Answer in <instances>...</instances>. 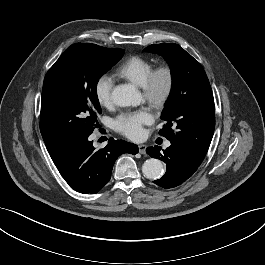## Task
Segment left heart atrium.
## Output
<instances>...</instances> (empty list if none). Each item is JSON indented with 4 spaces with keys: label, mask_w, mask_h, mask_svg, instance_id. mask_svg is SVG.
Returning a JSON list of instances; mask_svg holds the SVG:
<instances>
[{
    "label": "left heart atrium",
    "mask_w": 265,
    "mask_h": 265,
    "mask_svg": "<svg viewBox=\"0 0 265 265\" xmlns=\"http://www.w3.org/2000/svg\"><path fill=\"white\" fill-rule=\"evenodd\" d=\"M153 121L152 114L147 109L120 114L113 121V127L132 140H139L144 136V125Z\"/></svg>",
    "instance_id": "39dd6f15"
}]
</instances>
